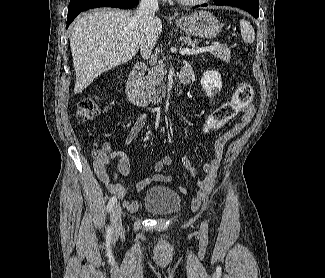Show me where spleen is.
<instances>
[{
  "label": "spleen",
  "instance_id": "spleen-1",
  "mask_svg": "<svg viewBox=\"0 0 325 278\" xmlns=\"http://www.w3.org/2000/svg\"><path fill=\"white\" fill-rule=\"evenodd\" d=\"M241 35L245 43H253L255 40V32L251 24L242 19L240 21Z\"/></svg>",
  "mask_w": 325,
  "mask_h": 278
}]
</instances>
